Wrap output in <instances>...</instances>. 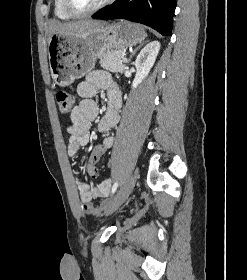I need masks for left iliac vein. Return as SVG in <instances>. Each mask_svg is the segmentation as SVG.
<instances>
[{"instance_id":"1","label":"left iliac vein","mask_w":247,"mask_h":280,"mask_svg":"<svg viewBox=\"0 0 247 280\" xmlns=\"http://www.w3.org/2000/svg\"><path fill=\"white\" fill-rule=\"evenodd\" d=\"M135 183H136V176L135 175H131L125 180L122 187L117 192V194L113 198L112 202L108 206V208L106 210V215H109V214L113 213L124 203V201L131 194V192H132V190L135 186Z\"/></svg>"}]
</instances>
